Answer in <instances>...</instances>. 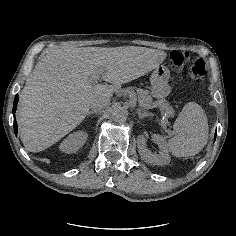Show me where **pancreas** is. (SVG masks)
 <instances>
[{
	"label": "pancreas",
	"instance_id": "cf45deb5",
	"mask_svg": "<svg viewBox=\"0 0 236 236\" xmlns=\"http://www.w3.org/2000/svg\"><path fill=\"white\" fill-rule=\"evenodd\" d=\"M133 93V90L130 87H127L126 89L118 90L115 93V96L118 99H121L124 95L130 96ZM143 104L145 108H152L153 106V101L151 97H146L145 100L143 101Z\"/></svg>",
	"mask_w": 236,
	"mask_h": 236
}]
</instances>
